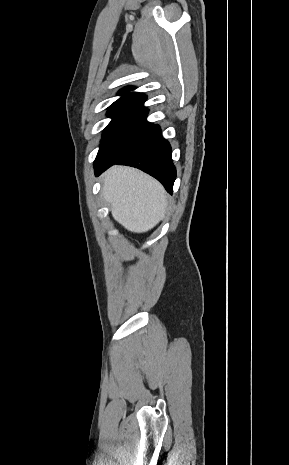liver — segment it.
Segmentation results:
<instances>
[{"instance_id":"1","label":"liver","mask_w":289,"mask_h":465,"mask_svg":"<svg viewBox=\"0 0 289 465\" xmlns=\"http://www.w3.org/2000/svg\"><path fill=\"white\" fill-rule=\"evenodd\" d=\"M102 179V194L112 216L128 231L147 232L164 217L166 192L154 178L135 168L113 166Z\"/></svg>"}]
</instances>
